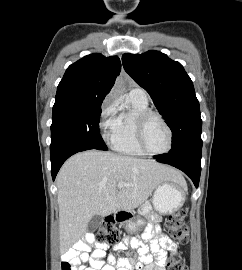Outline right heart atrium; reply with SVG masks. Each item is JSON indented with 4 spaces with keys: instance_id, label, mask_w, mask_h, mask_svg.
<instances>
[{
    "instance_id": "obj_1",
    "label": "right heart atrium",
    "mask_w": 242,
    "mask_h": 270,
    "mask_svg": "<svg viewBox=\"0 0 242 270\" xmlns=\"http://www.w3.org/2000/svg\"><path fill=\"white\" fill-rule=\"evenodd\" d=\"M117 112L118 101L114 97H109L102 107L99 121V127L105 140H108L116 126Z\"/></svg>"
}]
</instances>
